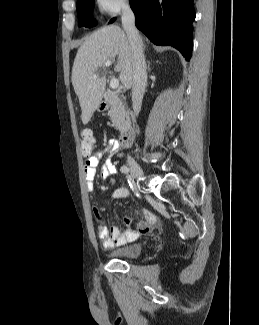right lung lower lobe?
Here are the masks:
<instances>
[{
	"instance_id": "1",
	"label": "right lung lower lobe",
	"mask_w": 259,
	"mask_h": 325,
	"mask_svg": "<svg viewBox=\"0 0 259 325\" xmlns=\"http://www.w3.org/2000/svg\"><path fill=\"white\" fill-rule=\"evenodd\" d=\"M136 27L156 45H171L186 60L192 53L193 0H129Z\"/></svg>"
}]
</instances>
